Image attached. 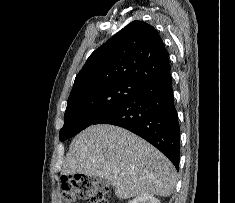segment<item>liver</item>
<instances>
[{
	"label": "liver",
	"instance_id": "1",
	"mask_svg": "<svg viewBox=\"0 0 235 203\" xmlns=\"http://www.w3.org/2000/svg\"><path fill=\"white\" fill-rule=\"evenodd\" d=\"M62 173L107 179L122 200L141 194L167 197L176 183V170L166 156L136 134L109 124L92 125L74 138Z\"/></svg>",
	"mask_w": 235,
	"mask_h": 203
}]
</instances>
